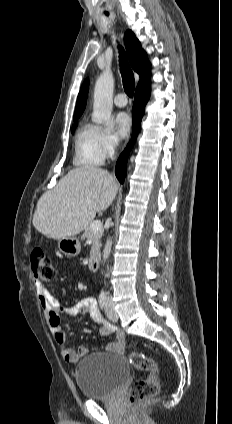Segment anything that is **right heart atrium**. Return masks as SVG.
Returning a JSON list of instances; mask_svg holds the SVG:
<instances>
[{"mask_svg": "<svg viewBox=\"0 0 232 424\" xmlns=\"http://www.w3.org/2000/svg\"><path fill=\"white\" fill-rule=\"evenodd\" d=\"M118 146V138L111 131H101L100 147L104 156H111L115 153Z\"/></svg>", "mask_w": 232, "mask_h": 424, "instance_id": "1", "label": "right heart atrium"}]
</instances>
